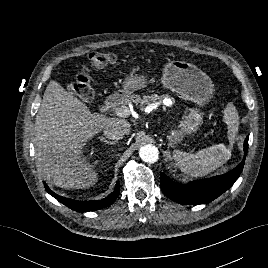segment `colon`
Instances as JSON below:
<instances>
[{"label":"colon","instance_id":"1","mask_svg":"<svg viewBox=\"0 0 268 268\" xmlns=\"http://www.w3.org/2000/svg\"><path fill=\"white\" fill-rule=\"evenodd\" d=\"M117 61V56L108 52H93L88 57V63L85 71L79 73L69 83L70 91L79 99L88 100L93 96V86L90 81L87 70L103 69L111 66Z\"/></svg>","mask_w":268,"mask_h":268}]
</instances>
